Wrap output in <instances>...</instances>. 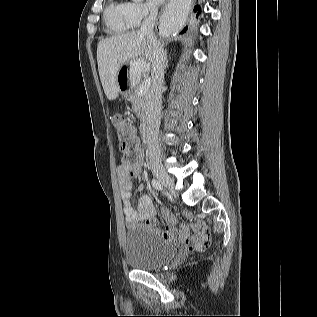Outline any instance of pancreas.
<instances>
[{"mask_svg": "<svg viewBox=\"0 0 317 317\" xmlns=\"http://www.w3.org/2000/svg\"><path fill=\"white\" fill-rule=\"evenodd\" d=\"M140 75H134V76L139 77ZM138 90H139V85L134 84L131 87V91H129L128 100L132 103V109L136 113L137 117L142 120L144 119L145 112H146V95L138 94Z\"/></svg>", "mask_w": 317, "mask_h": 317, "instance_id": "obj_1", "label": "pancreas"}]
</instances>
